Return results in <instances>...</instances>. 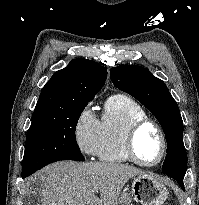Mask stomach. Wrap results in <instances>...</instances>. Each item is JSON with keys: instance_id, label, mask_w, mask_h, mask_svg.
I'll return each mask as SVG.
<instances>
[{"instance_id": "stomach-1", "label": "stomach", "mask_w": 199, "mask_h": 205, "mask_svg": "<svg viewBox=\"0 0 199 205\" xmlns=\"http://www.w3.org/2000/svg\"><path fill=\"white\" fill-rule=\"evenodd\" d=\"M167 196L168 190L161 180L140 174L133 179L131 190H124L112 205H132V200L141 205H162Z\"/></svg>"}]
</instances>
